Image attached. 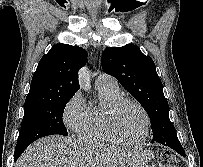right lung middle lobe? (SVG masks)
<instances>
[{
	"label": "right lung middle lobe",
	"instance_id": "1",
	"mask_svg": "<svg viewBox=\"0 0 203 167\" xmlns=\"http://www.w3.org/2000/svg\"><path fill=\"white\" fill-rule=\"evenodd\" d=\"M73 96L24 104V117L15 153L47 135H68L62 117L67 102Z\"/></svg>",
	"mask_w": 203,
	"mask_h": 167
}]
</instances>
